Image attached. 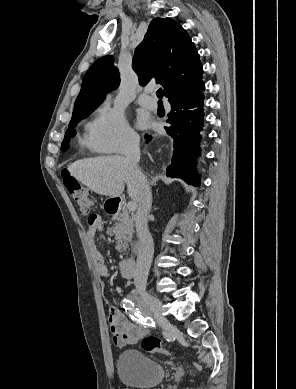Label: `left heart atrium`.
<instances>
[{"label": "left heart atrium", "mask_w": 296, "mask_h": 389, "mask_svg": "<svg viewBox=\"0 0 296 389\" xmlns=\"http://www.w3.org/2000/svg\"><path fill=\"white\" fill-rule=\"evenodd\" d=\"M138 121H139V125H140L141 127H144V126H146V124H147V119H146V117L143 116V115H140V116H139Z\"/></svg>", "instance_id": "39dd6f15"}]
</instances>
